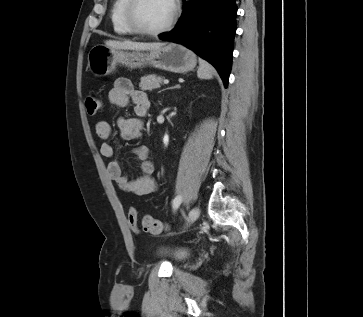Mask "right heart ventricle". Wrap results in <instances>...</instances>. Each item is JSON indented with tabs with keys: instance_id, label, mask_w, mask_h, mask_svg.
Segmentation results:
<instances>
[{
	"instance_id": "obj_1",
	"label": "right heart ventricle",
	"mask_w": 363,
	"mask_h": 317,
	"mask_svg": "<svg viewBox=\"0 0 363 317\" xmlns=\"http://www.w3.org/2000/svg\"><path fill=\"white\" fill-rule=\"evenodd\" d=\"M127 0H114L110 9V19L114 32L118 35H132L133 32L124 21V7Z\"/></svg>"
}]
</instances>
